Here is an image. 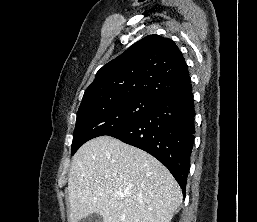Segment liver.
<instances>
[{"label":"liver","instance_id":"obj_1","mask_svg":"<svg viewBox=\"0 0 257 222\" xmlns=\"http://www.w3.org/2000/svg\"><path fill=\"white\" fill-rule=\"evenodd\" d=\"M68 194L70 222L93 213L103 222H170L183 199L178 183L156 158L110 136L78 149Z\"/></svg>","mask_w":257,"mask_h":222}]
</instances>
